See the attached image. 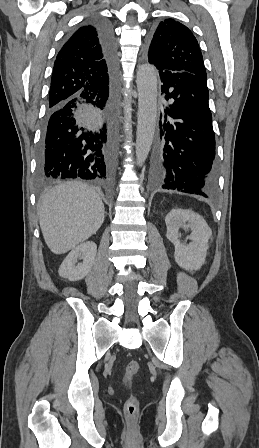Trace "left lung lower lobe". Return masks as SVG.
Masks as SVG:
<instances>
[{"label":"left lung lower lobe","mask_w":259,"mask_h":448,"mask_svg":"<svg viewBox=\"0 0 259 448\" xmlns=\"http://www.w3.org/2000/svg\"><path fill=\"white\" fill-rule=\"evenodd\" d=\"M159 74L170 105L160 116L162 142L152 164V185L208 197L216 191L218 166L207 80L188 72Z\"/></svg>","instance_id":"obj_1"}]
</instances>
